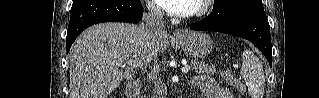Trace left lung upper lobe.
Returning a JSON list of instances; mask_svg holds the SVG:
<instances>
[{"label": "left lung upper lobe", "mask_w": 319, "mask_h": 98, "mask_svg": "<svg viewBox=\"0 0 319 98\" xmlns=\"http://www.w3.org/2000/svg\"><path fill=\"white\" fill-rule=\"evenodd\" d=\"M262 4L261 0H214L213 11L205 21H218L233 14L238 9L250 5Z\"/></svg>", "instance_id": "5c2ea615"}]
</instances>
